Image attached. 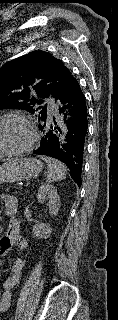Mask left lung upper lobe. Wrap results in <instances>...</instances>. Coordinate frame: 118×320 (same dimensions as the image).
I'll return each mask as SVG.
<instances>
[{"mask_svg": "<svg viewBox=\"0 0 118 320\" xmlns=\"http://www.w3.org/2000/svg\"><path fill=\"white\" fill-rule=\"evenodd\" d=\"M72 74L44 51H34L0 68V109H24L41 120L47 115L45 99L56 98Z\"/></svg>", "mask_w": 118, "mask_h": 320, "instance_id": "5c2ea615", "label": "left lung upper lobe"}]
</instances>
